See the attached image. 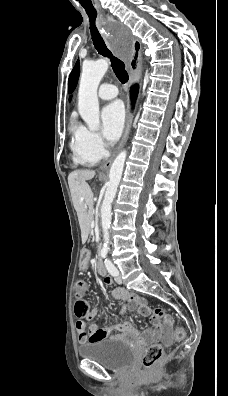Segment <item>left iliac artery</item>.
Returning <instances> with one entry per match:
<instances>
[{
	"label": "left iliac artery",
	"mask_w": 228,
	"mask_h": 396,
	"mask_svg": "<svg viewBox=\"0 0 228 396\" xmlns=\"http://www.w3.org/2000/svg\"><path fill=\"white\" fill-rule=\"evenodd\" d=\"M105 266L108 270V272L112 275V276H117L119 274L117 268L114 266V264L111 262V260L106 259L105 260Z\"/></svg>",
	"instance_id": "obj_1"
}]
</instances>
